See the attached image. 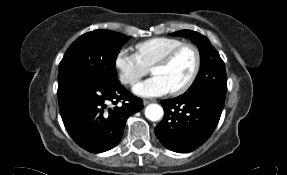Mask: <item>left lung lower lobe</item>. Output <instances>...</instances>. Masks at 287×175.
Here are the masks:
<instances>
[{"instance_id":"1","label":"left lung lower lobe","mask_w":287,"mask_h":175,"mask_svg":"<svg viewBox=\"0 0 287 175\" xmlns=\"http://www.w3.org/2000/svg\"><path fill=\"white\" fill-rule=\"evenodd\" d=\"M164 118L155 128L169 150L188 153L201 146L216 128L225 97L213 93L182 94L163 100Z\"/></svg>"}]
</instances>
